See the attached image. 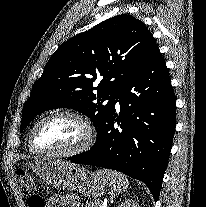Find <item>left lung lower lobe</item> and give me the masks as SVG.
Segmentation results:
<instances>
[{
	"instance_id": "left-lung-lower-lobe-1",
	"label": "left lung lower lobe",
	"mask_w": 206,
	"mask_h": 207,
	"mask_svg": "<svg viewBox=\"0 0 206 207\" xmlns=\"http://www.w3.org/2000/svg\"><path fill=\"white\" fill-rule=\"evenodd\" d=\"M113 106L96 144L72 162L123 172L144 182L157 201L176 122L174 91L158 47L119 89Z\"/></svg>"
}]
</instances>
